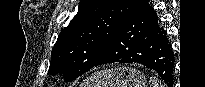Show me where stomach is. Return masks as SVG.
Instances as JSON below:
<instances>
[{"label": "stomach", "mask_w": 205, "mask_h": 87, "mask_svg": "<svg viewBox=\"0 0 205 87\" xmlns=\"http://www.w3.org/2000/svg\"><path fill=\"white\" fill-rule=\"evenodd\" d=\"M144 75L130 67L107 69L89 76L82 87H145Z\"/></svg>", "instance_id": "obj_1"}]
</instances>
